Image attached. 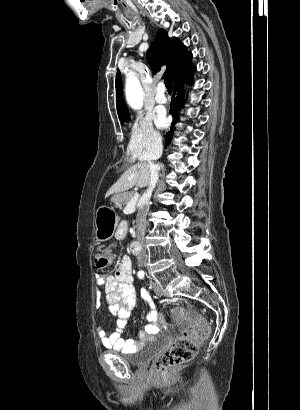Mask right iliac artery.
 Returning <instances> with one entry per match:
<instances>
[{
  "mask_svg": "<svg viewBox=\"0 0 300 410\" xmlns=\"http://www.w3.org/2000/svg\"><path fill=\"white\" fill-rule=\"evenodd\" d=\"M138 277H139L140 279H144V277H145L144 271H139V272H138Z\"/></svg>",
  "mask_w": 300,
  "mask_h": 410,
  "instance_id": "obj_1",
  "label": "right iliac artery"
}]
</instances>
